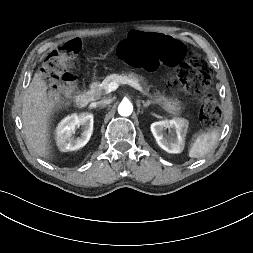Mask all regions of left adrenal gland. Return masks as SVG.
<instances>
[{"label": "left adrenal gland", "mask_w": 253, "mask_h": 253, "mask_svg": "<svg viewBox=\"0 0 253 253\" xmlns=\"http://www.w3.org/2000/svg\"><path fill=\"white\" fill-rule=\"evenodd\" d=\"M142 104H143V107H148L149 105H151V104H153V102L152 101H150V100H148V101H142Z\"/></svg>", "instance_id": "1"}]
</instances>
